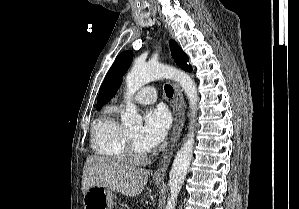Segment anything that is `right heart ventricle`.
I'll use <instances>...</instances> for the list:
<instances>
[{"label": "right heart ventricle", "mask_w": 299, "mask_h": 209, "mask_svg": "<svg viewBox=\"0 0 299 209\" xmlns=\"http://www.w3.org/2000/svg\"><path fill=\"white\" fill-rule=\"evenodd\" d=\"M118 108L110 106L96 120L92 127L91 146L93 150L111 160L124 161L125 155V130L117 120Z\"/></svg>", "instance_id": "1"}]
</instances>
